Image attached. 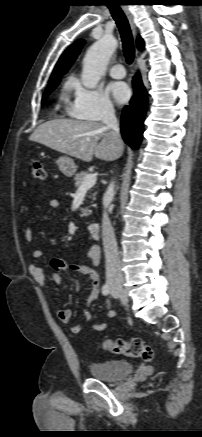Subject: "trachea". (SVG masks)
Returning <instances> with one entry per match:
<instances>
[{
	"label": "trachea",
	"instance_id": "obj_1",
	"mask_svg": "<svg viewBox=\"0 0 202 437\" xmlns=\"http://www.w3.org/2000/svg\"><path fill=\"white\" fill-rule=\"evenodd\" d=\"M108 8L120 32L125 60L131 64L135 57V48L128 19L118 5H108Z\"/></svg>",
	"mask_w": 202,
	"mask_h": 437
}]
</instances>
